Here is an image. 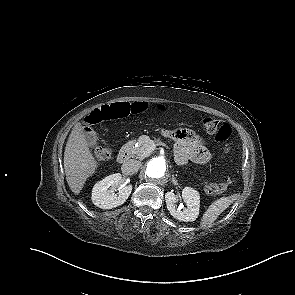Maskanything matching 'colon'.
I'll list each match as a JSON object with an SVG mask.
<instances>
[{"mask_svg": "<svg viewBox=\"0 0 295 295\" xmlns=\"http://www.w3.org/2000/svg\"><path fill=\"white\" fill-rule=\"evenodd\" d=\"M147 107V103L145 102H117L95 109L85 118V122L88 125H94L104 121L122 119L131 114L143 112ZM203 126L209 134L214 136L211 140L213 143V154H218L219 142L224 145V154H227L230 150L229 139L232 135L231 127L209 117L203 120ZM94 155L98 161L104 162L110 158V151L106 147L98 146L94 150ZM229 185V179L220 183H205L204 191L208 194H217L226 191Z\"/></svg>", "mask_w": 295, "mask_h": 295, "instance_id": "1", "label": "colon"}]
</instances>
